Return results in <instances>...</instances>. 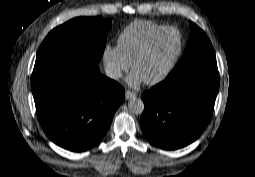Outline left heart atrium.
Listing matches in <instances>:
<instances>
[{"instance_id":"1","label":"left heart atrium","mask_w":255,"mask_h":177,"mask_svg":"<svg viewBox=\"0 0 255 177\" xmlns=\"http://www.w3.org/2000/svg\"><path fill=\"white\" fill-rule=\"evenodd\" d=\"M143 81V78L134 70L128 75L126 79L127 84L132 88L139 87Z\"/></svg>"}]
</instances>
